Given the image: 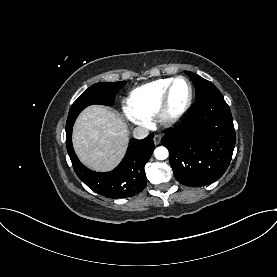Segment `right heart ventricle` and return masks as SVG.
<instances>
[{"mask_svg":"<svg viewBox=\"0 0 277 277\" xmlns=\"http://www.w3.org/2000/svg\"><path fill=\"white\" fill-rule=\"evenodd\" d=\"M173 78L152 81L135 88L129 95L127 106L146 117L156 114L162 96Z\"/></svg>","mask_w":277,"mask_h":277,"instance_id":"right-heart-ventricle-1","label":"right heart ventricle"}]
</instances>
